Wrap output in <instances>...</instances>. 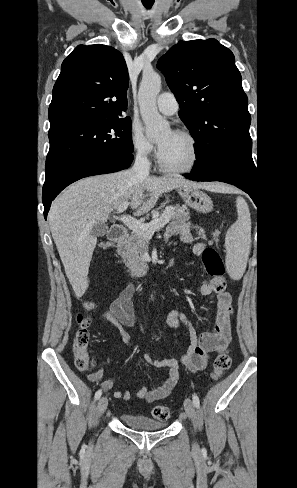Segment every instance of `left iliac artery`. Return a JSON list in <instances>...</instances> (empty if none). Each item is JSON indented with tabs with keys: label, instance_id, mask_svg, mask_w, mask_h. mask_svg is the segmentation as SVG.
I'll list each match as a JSON object with an SVG mask.
<instances>
[{
	"label": "left iliac artery",
	"instance_id": "44dca946",
	"mask_svg": "<svg viewBox=\"0 0 297 488\" xmlns=\"http://www.w3.org/2000/svg\"><path fill=\"white\" fill-rule=\"evenodd\" d=\"M192 399H193V404L195 405V407L199 408L200 407V401H199L197 394L194 393Z\"/></svg>",
	"mask_w": 297,
	"mask_h": 488
}]
</instances>
